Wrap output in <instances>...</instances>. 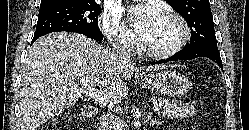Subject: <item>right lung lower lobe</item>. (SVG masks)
<instances>
[{"instance_id":"1","label":"right lung lower lobe","mask_w":249,"mask_h":130,"mask_svg":"<svg viewBox=\"0 0 249 130\" xmlns=\"http://www.w3.org/2000/svg\"><path fill=\"white\" fill-rule=\"evenodd\" d=\"M70 32H77V33L83 34V35H85V36H87V37H89V38H91V39H93V40H95V41H98V42H99V41H102V40L96 39V38H94L93 36H90L89 34L84 33V32H81V31H70ZM39 37H40V36H34V38H33V40H32V43L35 42ZM32 43H31V44H32Z\"/></svg>"}]
</instances>
